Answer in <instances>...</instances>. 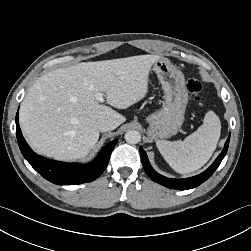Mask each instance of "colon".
<instances>
[{"label":"colon","mask_w":251,"mask_h":251,"mask_svg":"<svg viewBox=\"0 0 251 251\" xmlns=\"http://www.w3.org/2000/svg\"><path fill=\"white\" fill-rule=\"evenodd\" d=\"M187 90L193 96V98L195 100L198 101L201 99L202 85H201L200 81H198L197 79L192 78V79L188 80Z\"/></svg>","instance_id":"1"}]
</instances>
